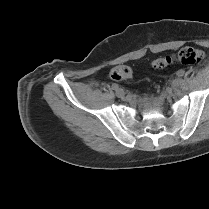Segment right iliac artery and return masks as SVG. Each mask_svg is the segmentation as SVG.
Here are the masks:
<instances>
[{
	"label": "right iliac artery",
	"mask_w": 209,
	"mask_h": 209,
	"mask_svg": "<svg viewBox=\"0 0 209 209\" xmlns=\"http://www.w3.org/2000/svg\"><path fill=\"white\" fill-rule=\"evenodd\" d=\"M112 88H113L114 90H117V89L119 88V86H118L116 83H114V84H112Z\"/></svg>",
	"instance_id": "82829eb1"
}]
</instances>
